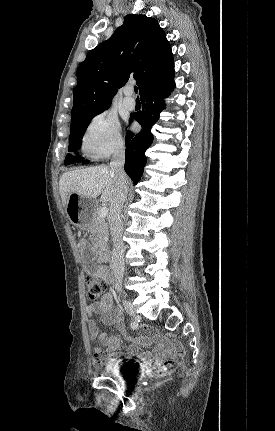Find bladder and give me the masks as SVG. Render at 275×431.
Wrapping results in <instances>:
<instances>
[{"instance_id": "1", "label": "bladder", "mask_w": 275, "mask_h": 431, "mask_svg": "<svg viewBox=\"0 0 275 431\" xmlns=\"http://www.w3.org/2000/svg\"><path fill=\"white\" fill-rule=\"evenodd\" d=\"M128 367V364L124 361L106 363L103 366V372L111 376L118 383H120L126 381L129 372Z\"/></svg>"}]
</instances>
